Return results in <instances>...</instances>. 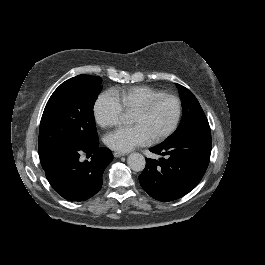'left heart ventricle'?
<instances>
[{"instance_id":"obj_1","label":"left heart ventricle","mask_w":265,"mask_h":265,"mask_svg":"<svg viewBox=\"0 0 265 265\" xmlns=\"http://www.w3.org/2000/svg\"><path fill=\"white\" fill-rule=\"evenodd\" d=\"M176 106L169 99H159L145 113H134L133 123L145 127L153 138L166 129L174 119Z\"/></svg>"}]
</instances>
